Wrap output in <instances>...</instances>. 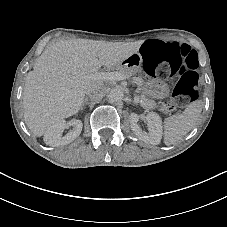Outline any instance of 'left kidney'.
Instances as JSON below:
<instances>
[{
  "label": "left kidney",
  "mask_w": 227,
  "mask_h": 227,
  "mask_svg": "<svg viewBox=\"0 0 227 227\" xmlns=\"http://www.w3.org/2000/svg\"><path fill=\"white\" fill-rule=\"evenodd\" d=\"M146 120L148 121V132L143 131L139 126L136 115L131 117V128L134 134L145 143L157 145L161 142L163 136V121L157 112H149Z\"/></svg>",
  "instance_id": "obj_1"
}]
</instances>
